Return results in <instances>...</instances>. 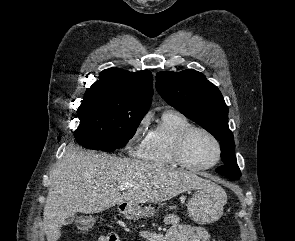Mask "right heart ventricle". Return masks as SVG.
<instances>
[{
	"mask_svg": "<svg viewBox=\"0 0 295 241\" xmlns=\"http://www.w3.org/2000/svg\"><path fill=\"white\" fill-rule=\"evenodd\" d=\"M191 125V121L181 112L165 110L144 139L137 152L138 157L156 165H177L173 144L178 135Z\"/></svg>",
	"mask_w": 295,
	"mask_h": 241,
	"instance_id": "e07e8e85",
	"label": "right heart ventricle"
}]
</instances>
